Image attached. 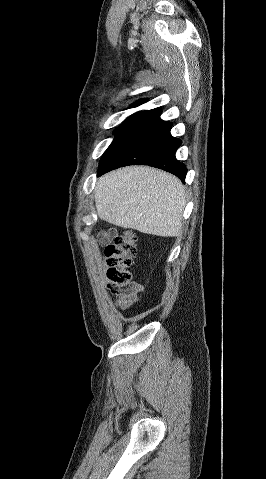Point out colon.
Wrapping results in <instances>:
<instances>
[{"instance_id":"colon-1","label":"colon","mask_w":266,"mask_h":479,"mask_svg":"<svg viewBox=\"0 0 266 479\" xmlns=\"http://www.w3.org/2000/svg\"><path fill=\"white\" fill-rule=\"evenodd\" d=\"M108 264L107 276L113 292L128 291L132 286L130 268L137 253L136 236L132 231L116 234L109 231L100 236Z\"/></svg>"}]
</instances>
